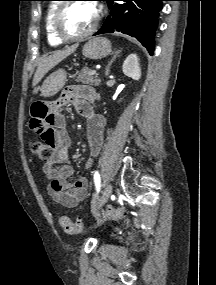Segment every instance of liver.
Masks as SVG:
<instances>
[{"label":"liver","instance_id":"obj_1","mask_svg":"<svg viewBox=\"0 0 216 285\" xmlns=\"http://www.w3.org/2000/svg\"><path fill=\"white\" fill-rule=\"evenodd\" d=\"M77 47L78 45H73L71 47H68L65 50L55 51L50 56L43 58L40 61L37 67V70L35 72L32 86L33 87L36 86L50 69H52L55 65L61 62L63 59H65L66 57L74 53Z\"/></svg>","mask_w":216,"mask_h":285}]
</instances>
